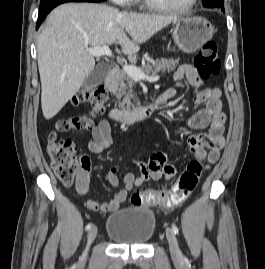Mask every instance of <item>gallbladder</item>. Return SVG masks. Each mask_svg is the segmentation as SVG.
Wrapping results in <instances>:
<instances>
[{"label":"gallbladder","mask_w":265,"mask_h":269,"mask_svg":"<svg viewBox=\"0 0 265 269\" xmlns=\"http://www.w3.org/2000/svg\"><path fill=\"white\" fill-rule=\"evenodd\" d=\"M108 69L103 64H98L92 72L86 77L84 81L85 88L94 87L96 84L102 82L107 73Z\"/></svg>","instance_id":"gallbladder-1"}]
</instances>
